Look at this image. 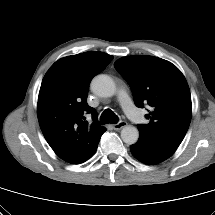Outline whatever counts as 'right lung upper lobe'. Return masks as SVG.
Here are the masks:
<instances>
[{
	"mask_svg": "<svg viewBox=\"0 0 215 215\" xmlns=\"http://www.w3.org/2000/svg\"><path fill=\"white\" fill-rule=\"evenodd\" d=\"M112 59L96 51L67 56L55 62L43 78L37 105L39 124L50 147L66 162H85L106 131L97 125V114L88 106L87 95L92 78ZM86 112L92 114L94 123L85 121Z\"/></svg>",
	"mask_w": 215,
	"mask_h": 215,
	"instance_id": "cb5924a9",
	"label": "right lung upper lobe"
}]
</instances>
